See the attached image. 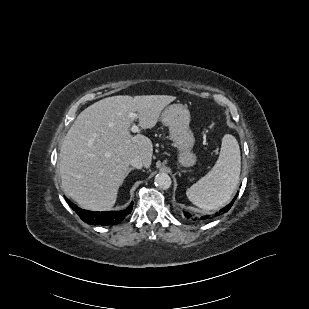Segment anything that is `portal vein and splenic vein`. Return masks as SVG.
Masks as SVG:
<instances>
[{"mask_svg":"<svg viewBox=\"0 0 309 309\" xmlns=\"http://www.w3.org/2000/svg\"><path fill=\"white\" fill-rule=\"evenodd\" d=\"M136 116H137V114H135V113H129V117H130L132 120H134V119L136 118ZM138 130H139V128H138V126H136V125H133L132 128H131V131H132V132H138Z\"/></svg>","mask_w":309,"mask_h":309,"instance_id":"18ae733b","label":"portal vein and splenic vein"}]
</instances>
